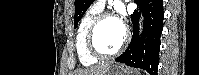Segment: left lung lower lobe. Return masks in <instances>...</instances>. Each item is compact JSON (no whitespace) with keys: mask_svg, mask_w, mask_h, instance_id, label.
Here are the masks:
<instances>
[{"mask_svg":"<svg viewBox=\"0 0 199 75\" xmlns=\"http://www.w3.org/2000/svg\"><path fill=\"white\" fill-rule=\"evenodd\" d=\"M143 11L144 28L138 37V21L140 13L135 10L131 15L133 24L132 40L126 51L115 59L128 66L141 68L151 75H158L160 36L163 29V1L142 0L135 1Z\"/></svg>","mask_w":199,"mask_h":75,"instance_id":"0a47b994","label":"left lung lower lobe"}]
</instances>
